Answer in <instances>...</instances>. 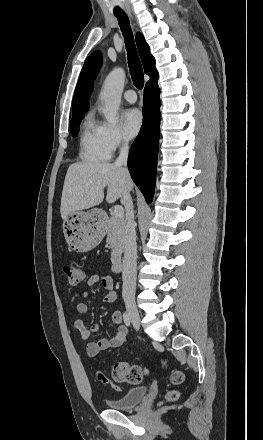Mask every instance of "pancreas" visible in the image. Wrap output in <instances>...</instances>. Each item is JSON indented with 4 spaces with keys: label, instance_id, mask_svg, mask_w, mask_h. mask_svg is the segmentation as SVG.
<instances>
[{
    "label": "pancreas",
    "instance_id": "pancreas-1",
    "mask_svg": "<svg viewBox=\"0 0 263 440\" xmlns=\"http://www.w3.org/2000/svg\"><path fill=\"white\" fill-rule=\"evenodd\" d=\"M125 221L124 218L112 216L107 224L106 242L112 249L111 262L116 264L120 261L124 248Z\"/></svg>",
    "mask_w": 263,
    "mask_h": 440
}]
</instances>
